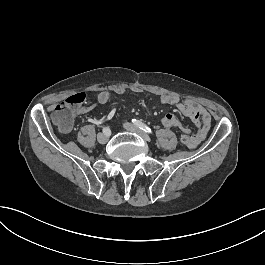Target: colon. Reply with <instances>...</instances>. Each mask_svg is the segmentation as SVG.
Masks as SVG:
<instances>
[{"label":"colon","instance_id":"colon-1","mask_svg":"<svg viewBox=\"0 0 265 265\" xmlns=\"http://www.w3.org/2000/svg\"><path fill=\"white\" fill-rule=\"evenodd\" d=\"M87 99L86 94L79 93L70 95L67 98V101H64L63 103H60L53 114V119L55 122L60 124L63 128H69L70 127V121L72 119V114L68 111V109L72 106H75L78 102H84ZM182 142L190 147V135L184 134L182 136Z\"/></svg>","mask_w":265,"mask_h":265}]
</instances>
